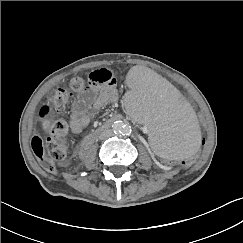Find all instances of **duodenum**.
Segmentation results:
<instances>
[{"mask_svg": "<svg viewBox=\"0 0 243 243\" xmlns=\"http://www.w3.org/2000/svg\"><path fill=\"white\" fill-rule=\"evenodd\" d=\"M121 117L116 116L113 117L109 120H107L106 122H104L101 126L97 127L96 129H94L91 133H89L80 143L79 146V150L82 153H85L91 146V144L98 138L99 135H101L103 132L109 130L112 126V124L117 121L120 120Z\"/></svg>", "mask_w": 243, "mask_h": 243, "instance_id": "obj_1", "label": "duodenum"}]
</instances>
